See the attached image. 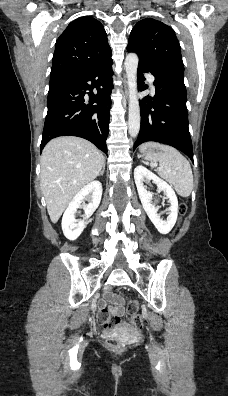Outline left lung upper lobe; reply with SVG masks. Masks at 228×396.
<instances>
[{
	"label": "left lung upper lobe",
	"mask_w": 228,
	"mask_h": 396,
	"mask_svg": "<svg viewBox=\"0 0 228 396\" xmlns=\"http://www.w3.org/2000/svg\"><path fill=\"white\" fill-rule=\"evenodd\" d=\"M139 56V66L184 77L181 49L174 30L161 21L146 18L131 31L127 46Z\"/></svg>",
	"instance_id": "1"
}]
</instances>
